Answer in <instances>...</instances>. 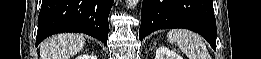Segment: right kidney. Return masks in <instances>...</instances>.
<instances>
[{
    "label": "right kidney",
    "instance_id": "right-kidney-1",
    "mask_svg": "<svg viewBox=\"0 0 261 59\" xmlns=\"http://www.w3.org/2000/svg\"><path fill=\"white\" fill-rule=\"evenodd\" d=\"M77 59H97V57H95V56H90V55H88V54H83V55H81V56H78V58Z\"/></svg>",
    "mask_w": 261,
    "mask_h": 59
}]
</instances>
